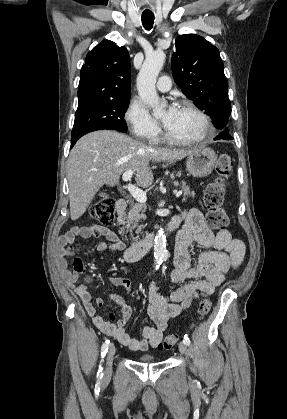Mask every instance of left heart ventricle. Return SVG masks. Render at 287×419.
<instances>
[{
	"label": "left heart ventricle",
	"instance_id": "obj_1",
	"mask_svg": "<svg viewBox=\"0 0 287 419\" xmlns=\"http://www.w3.org/2000/svg\"><path fill=\"white\" fill-rule=\"evenodd\" d=\"M166 130L174 137L180 139H195L204 132L201 119L192 111L185 108H177L174 115L167 119V112L162 115Z\"/></svg>",
	"mask_w": 287,
	"mask_h": 419
}]
</instances>
